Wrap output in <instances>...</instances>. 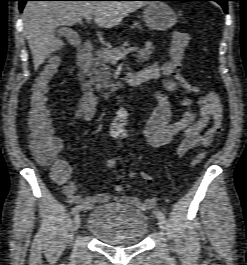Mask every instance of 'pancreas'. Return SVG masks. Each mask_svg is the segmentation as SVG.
Listing matches in <instances>:
<instances>
[{
  "label": "pancreas",
  "instance_id": "obj_1",
  "mask_svg": "<svg viewBox=\"0 0 247 265\" xmlns=\"http://www.w3.org/2000/svg\"><path fill=\"white\" fill-rule=\"evenodd\" d=\"M154 46L151 44L148 48L140 49L136 55L138 62H145L150 59L154 51ZM125 50V45H121L115 48H102L96 51V58L92 65L93 75L91 78L92 83L98 91H106V94L116 90L115 85L111 80V61L108 59L106 53L119 54ZM110 91V92H108Z\"/></svg>",
  "mask_w": 247,
  "mask_h": 265
}]
</instances>
